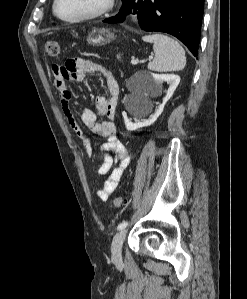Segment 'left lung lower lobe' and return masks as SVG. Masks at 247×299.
<instances>
[{"mask_svg":"<svg viewBox=\"0 0 247 299\" xmlns=\"http://www.w3.org/2000/svg\"><path fill=\"white\" fill-rule=\"evenodd\" d=\"M204 0H130L106 23H121L134 12L145 31L166 32L178 38L194 56L198 54Z\"/></svg>","mask_w":247,"mask_h":299,"instance_id":"obj_1","label":"left lung lower lobe"}]
</instances>
